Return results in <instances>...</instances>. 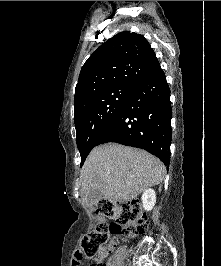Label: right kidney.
Wrapping results in <instances>:
<instances>
[{"label": "right kidney", "mask_w": 221, "mask_h": 266, "mask_svg": "<svg viewBox=\"0 0 221 266\" xmlns=\"http://www.w3.org/2000/svg\"><path fill=\"white\" fill-rule=\"evenodd\" d=\"M141 199L144 209L150 211L156 203V193L153 189H147L143 192Z\"/></svg>", "instance_id": "right-kidney-1"}]
</instances>
